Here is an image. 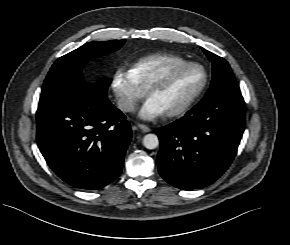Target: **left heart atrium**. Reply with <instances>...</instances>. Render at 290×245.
<instances>
[{
  "mask_svg": "<svg viewBox=\"0 0 290 245\" xmlns=\"http://www.w3.org/2000/svg\"><path fill=\"white\" fill-rule=\"evenodd\" d=\"M164 113V108L154 98L149 96L140 107L138 115L144 120H155Z\"/></svg>",
  "mask_w": 290,
  "mask_h": 245,
  "instance_id": "left-heart-atrium-1",
  "label": "left heart atrium"
}]
</instances>
